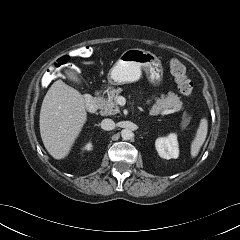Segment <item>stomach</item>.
<instances>
[{
    "instance_id": "stomach-1",
    "label": "stomach",
    "mask_w": 240,
    "mask_h": 240,
    "mask_svg": "<svg viewBox=\"0 0 240 240\" xmlns=\"http://www.w3.org/2000/svg\"><path fill=\"white\" fill-rule=\"evenodd\" d=\"M142 70L152 85L161 84L164 72L160 59L150 51L130 48L122 53L111 68L108 81L111 85L136 82L141 78Z\"/></svg>"
}]
</instances>
